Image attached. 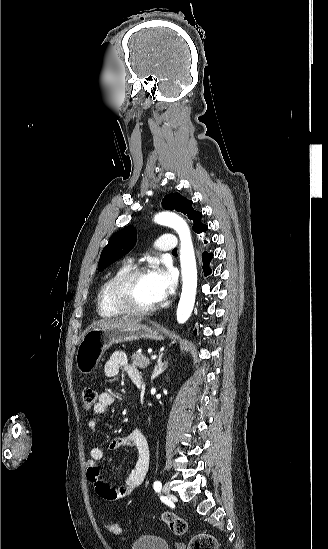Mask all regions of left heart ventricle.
I'll list each match as a JSON object with an SVG mask.
<instances>
[{
	"label": "left heart ventricle",
	"mask_w": 328,
	"mask_h": 549,
	"mask_svg": "<svg viewBox=\"0 0 328 549\" xmlns=\"http://www.w3.org/2000/svg\"><path fill=\"white\" fill-rule=\"evenodd\" d=\"M158 267L160 266L155 265L150 267L149 269L153 268L154 270ZM127 295L132 301L136 302L137 304L122 305V306L147 307V306H150L151 304L158 302L159 300L155 295L153 284H152L151 272L134 279L127 288Z\"/></svg>",
	"instance_id": "b2bd125f"
}]
</instances>
